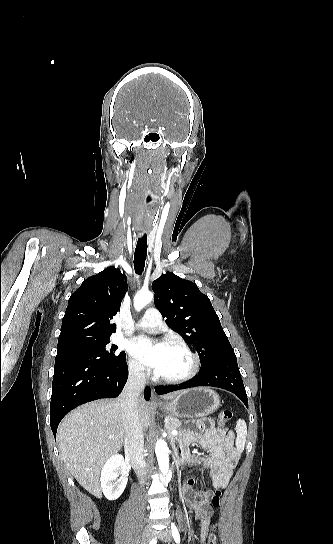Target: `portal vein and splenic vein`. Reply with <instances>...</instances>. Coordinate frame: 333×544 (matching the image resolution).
Returning <instances> with one entry per match:
<instances>
[{
    "label": "portal vein and splenic vein",
    "instance_id": "portal-vein-and-splenic-vein-1",
    "mask_svg": "<svg viewBox=\"0 0 333 544\" xmlns=\"http://www.w3.org/2000/svg\"><path fill=\"white\" fill-rule=\"evenodd\" d=\"M171 433H172L173 435H176V434H178L177 430H172V432H171ZM111 437H113V436H111Z\"/></svg>",
    "mask_w": 333,
    "mask_h": 544
}]
</instances>
